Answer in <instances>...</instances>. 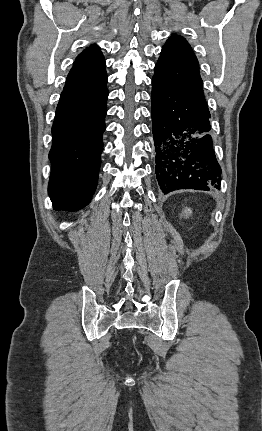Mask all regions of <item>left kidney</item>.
Listing matches in <instances>:
<instances>
[{
    "label": "left kidney",
    "instance_id": "1",
    "mask_svg": "<svg viewBox=\"0 0 262 431\" xmlns=\"http://www.w3.org/2000/svg\"><path fill=\"white\" fill-rule=\"evenodd\" d=\"M184 213L190 214V213H191V209H190V208H186V209L184 210Z\"/></svg>",
    "mask_w": 262,
    "mask_h": 431
}]
</instances>
